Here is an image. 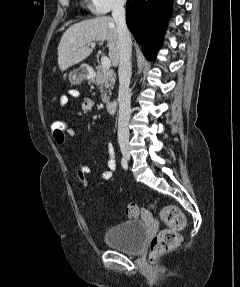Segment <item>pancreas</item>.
Here are the masks:
<instances>
[{
    "label": "pancreas",
    "instance_id": "obj_1",
    "mask_svg": "<svg viewBox=\"0 0 240 287\" xmlns=\"http://www.w3.org/2000/svg\"><path fill=\"white\" fill-rule=\"evenodd\" d=\"M116 74L113 70L105 69L103 66L97 67V75L91 79L97 85L101 92L103 103H108L110 100L111 90L115 85ZM107 90L109 95L107 94Z\"/></svg>",
    "mask_w": 240,
    "mask_h": 287
}]
</instances>
